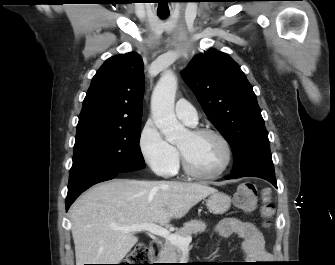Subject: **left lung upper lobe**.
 Masks as SVG:
<instances>
[{
  "label": "left lung upper lobe",
  "instance_id": "obj_1",
  "mask_svg": "<svg viewBox=\"0 0 335 265\" xmlns=\"http://www.w3.org/2000/svg\"><path fill=\"white\" fill-rule=\"evenodd\" d=\"M181 74L209 120L230 144L232 173L275 175L256 95L238 64L227 54L209 49L194 56Z\"/></svg>",
  "mask_w": 335,
  "mask_h": 265
}]
</instances>
